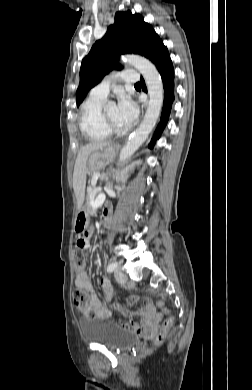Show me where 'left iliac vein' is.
<instances>
[{"instance_id":"left-iliac-vein-1","label":"left iliac vein","mask_w":252,"mask_h":390,"mask_svg":"<svg viewBox=\"0 0 252 390\" xmlns=\"http://www.w3.org/2000/svg\"><path fill=\"white\" fill-rule=\"evenodd\" d=\"M114 276L119 283H125L127 281V276L120 267L115 269Z\"/></svg>"}]
</instances>
